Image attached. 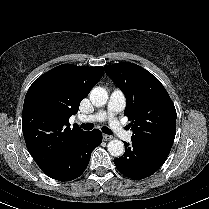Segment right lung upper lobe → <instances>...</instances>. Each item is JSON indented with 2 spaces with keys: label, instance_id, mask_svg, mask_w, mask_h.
Listing matches in <instances>:
<instances>
[{
  "label": "right lung upper lobe",
  "instance_id": "1",
  "mask_svg": "<svg viewBox=\"0 0 209 209\" xmlns=\"http://www.w3.org/2000/svg\"><path fill=\"white\" fill-rule=\"evenodd\" d=\"M103 74V67L62 64L30 86L24 100L22 130L27 149L42 171L85 132L77 125L70 127L69 118Z\"/></svg>",
  "mask_w": 209,
  "mask_h": 209
}]
</instances>
